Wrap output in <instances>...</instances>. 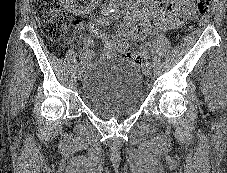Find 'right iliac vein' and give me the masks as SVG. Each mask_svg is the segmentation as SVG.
Segmentation results:
<instances>
[{
    "mask_svg": "<svg viewBox=\"0 0 227 173\" xmlns=\"http://www.w3.org/2000/svg\"><path fill=\"white\" fill-rule=\"evenodd\" d=\"M83 72H84V67H80L77 73V77L78 79H81L83 76Z\"/></svg>",
    "mask_w": 227,
    "mask_h": 173,
    "instance_id": "right-iliac-vein-1",
    "label": "right iliac vein"
}]
</instances>
